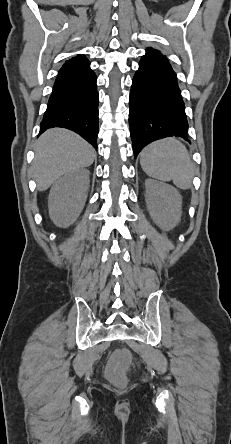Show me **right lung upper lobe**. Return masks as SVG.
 <instances>
[{"mask_svg":"<svg viewBox=\"0 0 231 444\" xmlns=\"http://www.w3.org/2000/svg\"><path fill=\"white\" fill-rule=\"evenodd\" d=\"M89 65L90 62L88 61V59L84 55L79 54L75 58L66 61L65 64L60 69L59 74H66L74 71H79L86 68Z\"/></svg>","mask_w":231,"mask_h":444,"instance_id":"obj_1","label":"right lung upper lobe"}]
</instances>
